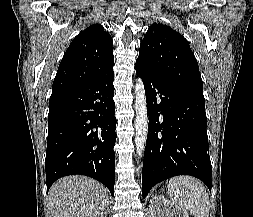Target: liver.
I'll return each mask as SVG.
<instances>
[{
    "instance_id": "1",
    "label": "liver",
    "mask_w": 253,
    "mask_h": 217,
    "mask_svg": "<svg viewBox=\"0 0 253 217\" xmlns=\"http://www.w3.org/2000/svg\"><path fill=\"white\" fill-rule=\"evenodd\" d=\"M52 217H106L109 208L107 189L82 175L56 181L48 194Z\"/></svg>"
}]
</instances>
